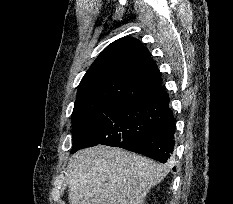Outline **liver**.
Instances as JSON below:
<instances>
[{
	"label": "liver",
	"instance_id": "obj_1",
	"mask_svg": "<svg viewBox=\"0 0 233 204\" xmlns=\"http://www.w3.org/2000/svg\"><path fill=\"white\" fill-rule=\"evenodd\" d=\"M167 173L164 165L120 148L81 149L68 165L69 204H145Z\"/></svg>",
	"mask_w": 233,
	"mask_h": 204
}]
</instances>
